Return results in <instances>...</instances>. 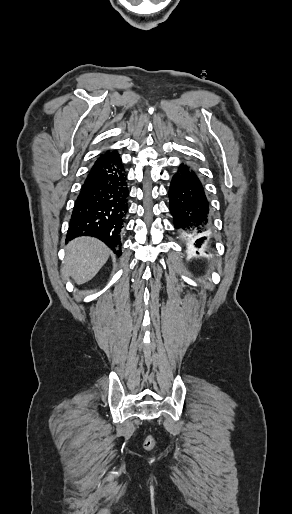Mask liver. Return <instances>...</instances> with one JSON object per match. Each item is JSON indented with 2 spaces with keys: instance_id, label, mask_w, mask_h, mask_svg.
<instances>
[{
  "instance_id": "1",
  "label": "liver",
  "mask_w": 292,
  "mask_h": 514,
  "mask_svg": "<svg viewBox=\"0 0 292 514\" xmlns=\"http://www.w3.org/2000/svg\"><path fill=\"white\" fill-rule=\"evenodd\" d=\"M65 266L62 270L66 276H71L76 284H85L98 274L106 264L110 250L96 238H76L65 246Z\"/></svg>"
}]
</instances>
